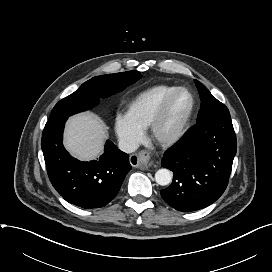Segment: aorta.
Here are the masks:
<instances>
[{
    "label": "aorta",
    "instance_id": "obj_1",
    "mask_svg": "<svg viewBox=\"0 0 272 272\" xmlns=\"http://www.w3.org/2000/svg\"><path fill=\"white\" fill-rule=\"evenodd\" d=\"M172 180V173L168 169H159L155 173V181L161 185H168Z\"/></svg>",
    "mask_w": 272,
    "mask_h": 272
}]
</instances>
